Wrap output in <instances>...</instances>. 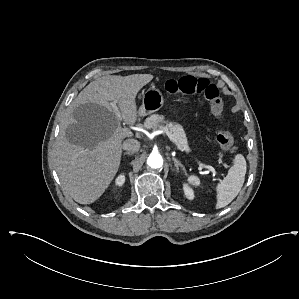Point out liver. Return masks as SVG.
<instances>
[{"label": "liver", "mask_w": 299, "mask_h": 299, "mask_svg": "<svg viewBox=\"0 0 299 299\" xmlns=\"http://www.w3.org/2000/svg\"><path fill=\"white\" fill-rule=\"evenodd\" d=\"M151 74L109 75L90 82L73 100L56 147V170L64 190L78 203L96 201L114 179L122 141L132 137L120 121H137L136 96ZM116 103L120 117L112 108Z\"/></svg>", "instance_id": "6515ba94"}]
</instances>
